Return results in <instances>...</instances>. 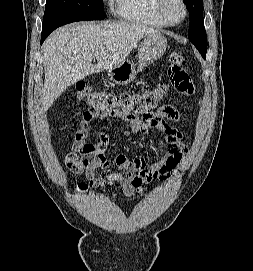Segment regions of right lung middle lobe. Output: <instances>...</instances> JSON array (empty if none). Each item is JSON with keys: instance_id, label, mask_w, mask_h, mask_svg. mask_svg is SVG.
Wrapping results in <instances>:
<instances>
[{"instance_id": "dd1d6c3e", "label": "right lung middle lobe", "mask_w": 253, "mask_h": 271, "mask_svg": "<svg viewBox=\"0 0 253 271\" xmlns=\"http://www.w3.org/2000/svg\"><path fill=\"white\" fill-rule=\"evenodd\" d=\"M104 18L103 0H46L42 33L70 22Z\"/></svg>"}]
</instances>
